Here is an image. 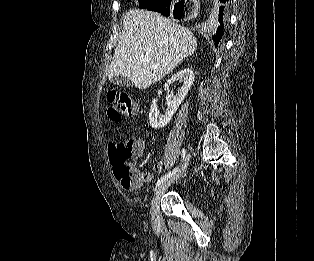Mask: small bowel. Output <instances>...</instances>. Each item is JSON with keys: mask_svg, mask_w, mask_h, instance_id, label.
Returning a JSON list of instances; mask_svg holds the SVG:
<instances>
[{"mask_svg": "<svg viewBox=\"0 0 314 261\" xmlns=\"http://www.w3.org/2000/svg\"><path fill=\"white\" fill-rule=\"evenodd\" d=\"M137 142H138V144H139V146H140V151H139V153L136 155V158L139 159V158L142 157V155H143V153H144V144H143L140 140H138V139H137ZM137 171H138L139 173H141L142 176H143V181H142V183H143V182H149V181H151V180L153 179V177H154V174H153V173L142 172V171H140V170H138V169H137ZM153 171H154V173H156V174L161 173V172L163 171V162H162V161L156 162V163L154 164Z\"/></svg>", "mask_w": 314, "mask_h": 261, "instance_id": "c3829d8e", "label": "small bowel"}]
</instances>
